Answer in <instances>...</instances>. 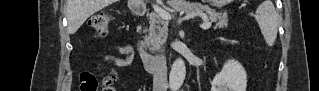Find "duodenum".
<instances>
[{
  "mask_svg": "<svg viewBox=\"0 0 319 91\" xmlns=\"http://www.w3.org/2000/svg\"><path fill=\"white\" fill-rule=\"evenodd\" d=\"M134 12L139 16H144L146 14V9L143 6H136L134 8ZM135 45L136 51L145 70L147 72L154 71L160 63V57L152 55L146 50L145 43L142 38H137Z\"/></svg>",
  "mask_w": 319,
  "mask_h": 91,
  "instance_id": "duodenum-1",
  "label": "duodenum"
}]
</instances>
